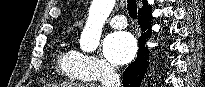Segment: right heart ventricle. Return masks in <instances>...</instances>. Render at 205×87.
<instances>
[{"instance_id":"right-heart-ventricle-1","label":"right heart ventricle","mask_w":205,"mask_h":87,"mask_svg":"<svg viewBox=\"0 0 205 87\" xmlns=\"http://www.w3.org/2000/svg\"><path fill=\"white\" fill-rule=\"evenodd\" d=\"M77 57V51L63 44L57 50L55 65L63 78L70 81L84 82L87 79L78 72Z\"/></svg>"}]
</instances>
